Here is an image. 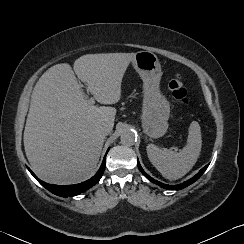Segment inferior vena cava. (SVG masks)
Instances as JSON below:
<instances>
[{
	"label": "inferior vena cava",
	"instance_id": "1",
	"mask_svg": "<svg viewBox=\"0 0 244 244\" xmlns=\"http://www.w3.org/2000/svg\"><path fill=\"white\" fill-rule=\"evenodd\" d=\"M98 129L104 136L110 134L112 130V128L107 123L100 124Z\"/></svg>",
	"mask_w": 244,
	"mask_h": 244
}]
</instances>
